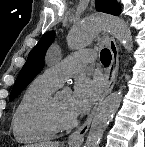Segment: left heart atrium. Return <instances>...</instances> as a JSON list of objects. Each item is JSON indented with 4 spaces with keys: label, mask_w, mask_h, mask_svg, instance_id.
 <instances>
[{
    "label": "left heart atrium",
    "mask_w": 145,
    "mask_h": 147,
    "mask_svg": "<svg viewBox=\"0 0 145 147\" xmlns=\"http://www.w3.org/2000/svg\"><path fill=\"white\" fill-rule=\"evenodd\" d=\"M102 90L100 78L79 77L71 96V113L78 116L86 112L98 98Z\"/></svg>",
    "instance_id": "1"
}]
</instances>
